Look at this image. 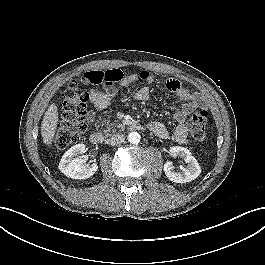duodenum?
I'll return each mask as SVG.
<instances>
[{
  "label": "duodenum",
  "instance_id": "obj_1",
  "mask_svg": "<svg viewBox=\"0 0 265 265\" xmlns=\"http://www.w3.org/2000/svg\"><path fill=\"white\" fill-rule=\"evenodd\" d=\"M134 130H142L143 126L140 124L133 125ZM90 141L93 144H102L104 142V135L99 131H93L89 136Z\"/></svg>",
  "mask_w": 265,
  "mask_h": 265
}]
</instances>
